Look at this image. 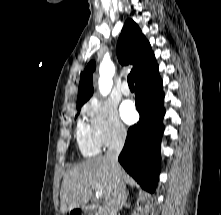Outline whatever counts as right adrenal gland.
<instances>
[{"mask_svg":"<svg viewBox=\"0 0 221 215\" xmlns=\"http://www.w3.org/2000/svg\"><path fill=\"white\" fill-rule=\"evenodd\" d=\"M128 195H129V193L127 192V193L125 194V199H124V201H123V203H122L121 209L123 208V206H126V207L128 206V203H127Z\"/></svg>","mask_w":221,"mask_h":215,"instance_id":"obj_1","label":"right adrenal gland"}]
</instances>
